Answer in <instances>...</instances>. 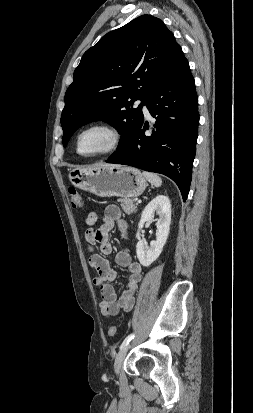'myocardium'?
<instances>
[{
    "label": "myocardium",
    "instance_id": "obj_1",
    "mask_svg": "<svg viewBox=\"0 0 253 413\" xmlns=\"http://www.w3.org/2000/svg\"><path fill=\"white\" fill-rule=\"evenodd\" d=\"M92 129L105 130L110 135V141L108 145L99 152H96L93 154H83L79 151L80 137L85 132L92 130ZM122 142H123V134L116 125L108 121L99 120V121H94V122H91L85 125L78 131L75 137V150L77 154H79L82 157H86V158L99 157V156L107 155V154L117 151L119 147L121 146Z\"/></svg>",
    "mask_w": 253,
    "mask_h": 413
}]
</instances>
